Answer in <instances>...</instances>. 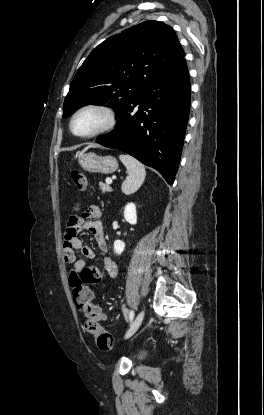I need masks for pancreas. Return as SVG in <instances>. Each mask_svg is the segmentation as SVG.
I'll use <instances>...</instances> for the list:
<instances>
[{
    "mask_svg": "<svg viewBox=\"0 0 264 415\" xmlns=\"http://www.w3.org/2000/svg\"><path fill=\"white\" fill-rule=\"evenodd\" d=\"M99 186H100V190H101L102 193H106V192H111L112 191V188L108 184H105L103 182H100L99 183Z\"/></svg>",
    "mask_w": 264,
    "mask_h": 415,
    "instance_id": "obj_1",
    "label": "pancreas"
}]
</instances>
